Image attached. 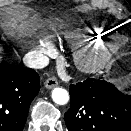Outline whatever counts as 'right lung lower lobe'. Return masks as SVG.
Returning a JSON list of instances; mask_svg holds the SVG:
<instances>
[{
  "label": "right lung lower lobe",
  "mask_w": 131,
  "mask_h": 131,
  "mask_svg": "<svg viewBox=\"0 0 131 131\" xmlns=\"http://www.w3.org/2000/svg\"><path fill=\"white\" fill-rule=\"evenodd\" d=\"M40 90L35 70L0 63V131H22L32 100Z\"/></svg>",
  "instance_id": "obj_1"
}]
</instances>
